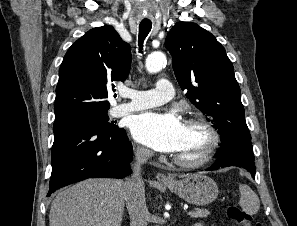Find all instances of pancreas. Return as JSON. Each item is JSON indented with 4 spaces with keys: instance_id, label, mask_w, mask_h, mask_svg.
Returning a JSON list of instances; mask_svg holds the SVG:
<instances>
[{
    "instance_id": "obj_1",
    "label": "pancreas",
    "mask_w": 297,
    "mask_h": 226,
    "mask_svg": "<svg viewBox=\"0 0 297 226\" xmlns=\"http://www.w3.org/2000/svg\"><path fill=\"white\" fill-rule=\"evenodd\" d=\"M209 214L208 210L206 209H196L194 213L191 215L192 218H203L207 217Z\"/></svg>"
}]
</instances>
